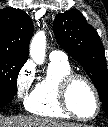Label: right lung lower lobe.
<instances>
[{
    "label": "right lung lower lobe",
    "instance_id": "98d812e1",
    "mask_svg": "<svg viewBox=\"0 0 108 127\" xmlns=\"http://www.w3.org/2000/svg\"><path fill=\"white\" fill-rule=\"evenodd\" d=\"M13 98L8 97H0V107H3L4 105L8 104Z\"/></svg>",
    "mask_w": 108,
    "mask_h": 127
}]
</instances>
